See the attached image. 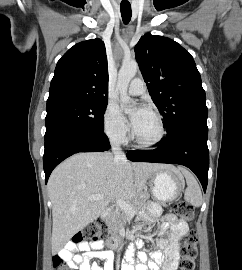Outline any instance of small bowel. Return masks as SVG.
Wrapping results in <instances>:
<instances>
[{
    "label": "small bowel",
    "instance_id": "c3829d8e",
    "mask_svg": "<svg viewBox=\"0 0 242 270\" xmlns=\"http://www.w3.org/2000/svg\"><path fill=\"white\" fill-rule=\"evenodd\" d=\"M161 217V237L157 240V247L162 251H153L150 259L145 252L137 253L135 261L134 254L128 253L125 256L123 270H159L160 266L164 270H176L179 261V241L188 232L187 223L178 219L174 214H161L158 205L152 204L148 208V214L141 220H149ZM137 246H141V241H136ZM103 241L81 242L75 244L68 242L59 251L70 267L77 270H113L114 257L110 250H103ZM80 252V253H76ZM93 259L104 260V264L92 262Z\"/></svg>",
    "mask_w": 242,
    "mask_h": 270
}]
</instances>
